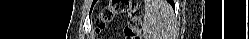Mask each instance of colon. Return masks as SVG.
I'll list each match as a JSON object with an SVG mask.
<instances>
[{
  "label": "colon",
  "instance_id": "colon-1",
  "mask_svg": "<svg viewBox=\"0 0 249 39\" xmlns=\"http://www.w3.org/2000/svg\"><path fill=\"white\" fill-rule=\"evenodd\" d=\"M126 12L129 14L130 20L125 28V35L128 39H139L142 28V9L139 2L135 0H112L109 4L102 6L99 11L96 31H102L117 15Z\"/></svg>",
  "mask_w": 249,
  "mask_h": 39
}]
</instances>
